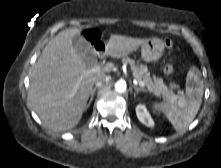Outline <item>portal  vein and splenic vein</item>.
Here are the masks:
<instances>
[{"mask_svg":"<svg viewBox=\"0 0 221 168\" xmlns=\"http://www.w3.org/2000/svg\"><path fill=\"white\" fill-rule=\"evenodd\" d=\"M101 69H102L101 66H94V67H92L91 69L87 70L86 73H87V74H88V73H98V72L101 71ZM138 85H139L140 87H144V86H145V84H144L143 81H138Z\"/></svg>","mask_w":221,"mask_h":168,"instance_id":"1","label":"portal vein and splenic vein"}]
</instances>
